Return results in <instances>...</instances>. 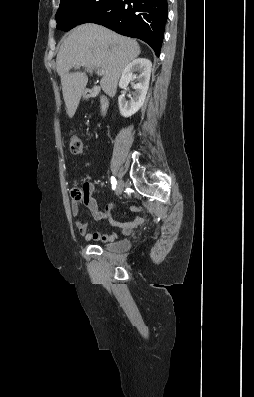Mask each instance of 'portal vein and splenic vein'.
<instances>
[{"label": "portal vein and splenic vein", "instance_id": "portal-vein-and-splenic-vein-1", "mask_svg": "<svg viewBox=\"0 0 254 397\" xmlns=\"http://www.w3.org/2000/svg\"><path fill=\"white\" fill-rule=\"evenodd\" d=\"M96 73H97L98 75H103V74H104V70H102V69H97V70H96Z\"/></svg>", "mask_w": 254, "mask_h": 397}]
</instances>
